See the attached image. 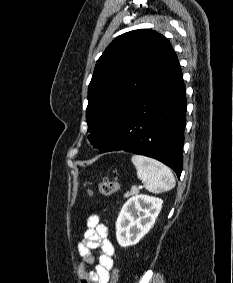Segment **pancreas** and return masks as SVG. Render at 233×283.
Segmentation results:
<instances>
[{"instance_id": "1", "label": "pancreas", "mask_w": 233, "mask_h": 283, "mask_svg": "<svg viewBox=\"0 0 233 283\" xmlns=\"http://www.w3.org/2000/svg\"><path fill=\"white\" fill-rule=\"evenodd\" d=\"M139 193L138 188L132 187L129 192L125 194L126 197L132 196V195H137Z\"/></svg>"}]
</instances>
